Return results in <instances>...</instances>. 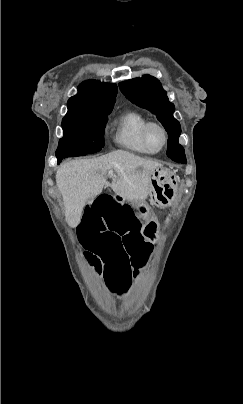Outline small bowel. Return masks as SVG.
<instances>
[{"mask_svg":"<svg viewBox=\"0 0 243 404\" xmlns=\"http://www.w3.org/2000/svg\"><path fill=\"white\" fill-rule=\"evenodd\" d=\"M133 207L116 193H103L90 203L78 229L84 257L102 274L109 288L125 293L152 255Z\"/></svg>","mask_w":243,"mask_h":404,"instance_id":"small-bowel-1","label":"small bowel"}]
</instances>
